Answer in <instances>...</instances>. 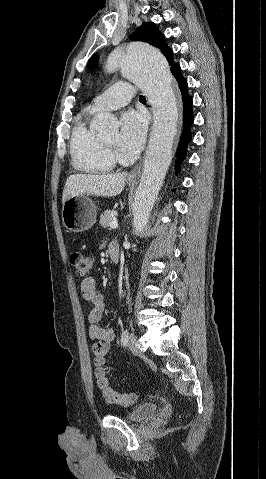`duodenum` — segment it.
<instances>
[{
    "label": "duodenum",
    "instance_id": "410a0bca",
    "mask_svg": "<svg viewBox=\"0 0 266 479\" xmlns=\"http://www.w3.org/2000/svg\"><path fill=\"white\" fill-rule=\"evenodd\" d=\"M109 256L114 264L120 259V248L117 242H111L108 247Z\"/></svg>",
    "mask_w": 266,
    "mask_h": 479
}]
</instances>
